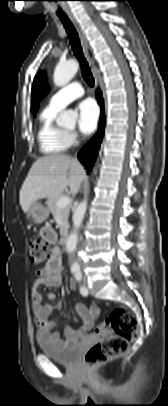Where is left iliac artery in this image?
<instances>
[{
	"label": "left iliac artery",
	"mask_w": 168,
	"mask_h": 406,
	"mask_svg": "<svg viewBox=\"0 0 168 406\" xmlns=\"http://www.w3.org/2000/svg\"><path fill=\"white\" fill-rule=\"evenodd\" d=\"M75 279L78 281V282H80L81 280H82V274H81V272L78 270L77 272H75ZM80 293L83 295V296H87L88 295V290H87V288L86 287H84V286H81L80 287Z\"/></svg>",
	"instance_id": "obj_1"
}]
</instances>
